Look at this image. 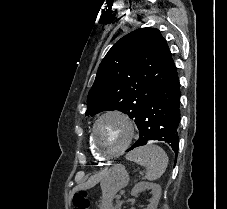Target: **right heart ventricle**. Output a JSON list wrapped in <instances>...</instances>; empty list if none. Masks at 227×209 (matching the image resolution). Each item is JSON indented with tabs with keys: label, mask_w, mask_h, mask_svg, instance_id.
Segmentation results:
<instances>
[{
	"label": "right heart ventricle",
	"mask_w": 227,
	"mask_h": 209,
	"mask_svg": "<svg viewBox=\"0 0 227 209\" xmlns=\"http://www.w3.org/2000/svg\"><path fill=\"white\" fill-rule=\"evenodd\" d=\"M88 144H89V149H90L91 154L93 155V157H94L96 160H101V159L97 156L95 150L93 149V146H92L91 141H90V137H89V140H88Z\"/></svg>",
	"instance_id": "1"
}]
</instances>
